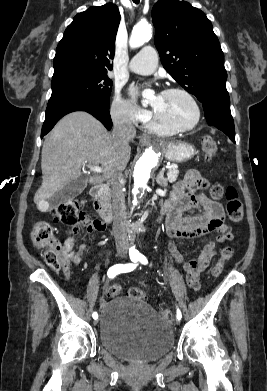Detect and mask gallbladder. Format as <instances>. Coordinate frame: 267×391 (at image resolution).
Masks as SVG:
<instances>
[{"mask_svg": "<svg viewBox=\"0 0 267 391\" xmlns=\"http://www.w3.org/2000/svg\"><path fill=\"white\" fill-rule=\"evenodd\" d=\"M87 186L86 177L80 175L77 179L66 184L59 192H57L52 201L54 203H62L70 201L80 195Z\"/></svg>", "mask_w": 267, "mask_h": 391, "instance_id": "bac80fb5", "label": "gallbladder"}]
</instances>
